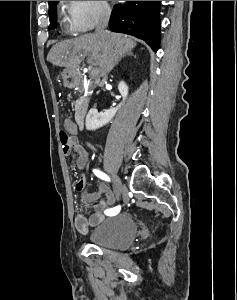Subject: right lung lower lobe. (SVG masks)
Listing matches in <instances>:
<instances>
[{
    "mask_svg": "<svg viewBox=\"0 0 237 300\" xmlns=\"http://www.w3.org/2000/svg\"><path fill=\"white\" fill-rule=\"evenodd\" d=\"M160 1H128L112 11L111 31L133 35L145 40L154 51L160 43Z\"/></svg>",
    "mask_w": 237,
    "mask_h": 300,
    "instance_id": "1",
    "label": "right lung lower lobe"
}]
</instances>
